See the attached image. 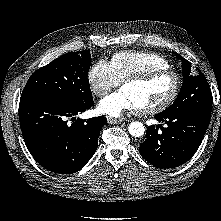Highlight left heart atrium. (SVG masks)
Listing matches in <instances>:
<instances>
[{
	"label": "left heart atrium",
	"instance_id": "left-heart-atrium-1",
	"mask_svg": "<svg viewBox=\"0 0 221 221\" xmlns=\"http://www.w3.org/2000/svg\"><path fill=\"white\" fill-rule=\"evenodd\" d=\"M98 110L109 116L119 117L125 112L137 111L139 107L132 97L121 89L103 98L98 105Z\"/></svg>",
	"mask_w": 221,
	"mask_h": 221
}]
</instances>
